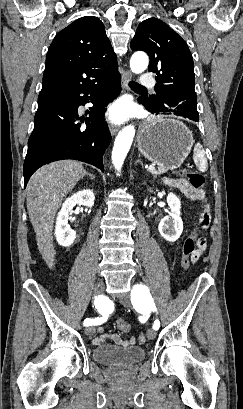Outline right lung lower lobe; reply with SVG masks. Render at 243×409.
Returning a JSON list of instances; mask_svg holds the SVG:
<instances>
[{
    "label": "right lung lower lobe",
    "mask_w": 243,
    "mask_h": 409,
    "mask_svg": "<svg viewBox=\"0 0 243 409\" xmlns=\"http://www.w3.org/2000/svg\"><path fill=\"white\" fill-rule=\"evenodd\" d=\"M120 82L117 71L95 84L39 95L24 161L25 187L39 167L57 160H80L104 171L103 155L111 141L104 107L119 95ZM88 102L94 106L79 123L78 107Z\"/></svg>",
    "instance_id": "right-lung-lower-lobe-1"
}]
</instances>
